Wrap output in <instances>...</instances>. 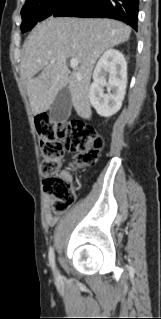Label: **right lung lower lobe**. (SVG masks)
Returning a JSON list of instances; mask_svg holds the SVG:
<instances>
[{
  "label": "right lung lower lobe",
  "mask_w": 161,
  "mask_h": 319,
  "mask_svg": "<svg viewBox=\"0 0 161 319\" xmlns=\"http://www.w3.org/2000/svg\"><path fill=\"white\" fill-rule=\"evenodd\" d=\"M139 0H85L65 16L112 18L137 29Z\"/></svg>",
  "instance_id": "98d812e1"
}]
</instances>
